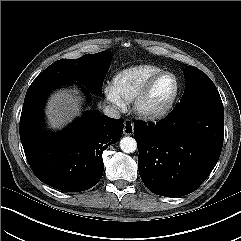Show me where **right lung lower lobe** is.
Segmentation results:
<instances>
[{
	"instance_id": "obj_1",
	"label": "right lung lower lobe",
	"mask_w": 241,
	"mask_h": 241,
	"mask_svg": "<svg viewBox=\"0 0 241 241\" xmlns=\"http://www.w3.org/2000/svg\"><path fill=\"white\" fill-rule=\"evenodd\" d=\"M73 80H54L31 85L20 117V139L27 161L40 181L66 192L92 188L104 170L102 153L118 142L123 120L96 111L83 117L57 136L43 130L42 110L48 93Z\"/></svg>"
}]
</instances>
